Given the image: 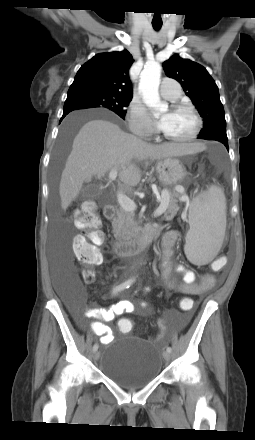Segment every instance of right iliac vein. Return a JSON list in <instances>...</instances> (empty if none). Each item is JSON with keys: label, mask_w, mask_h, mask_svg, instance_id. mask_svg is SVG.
Masks as SVG:
<instances>
[{"label": "right iliac vein", "mask_w": 255, "mask_h": 440, "mask_svg": "<svg viewBox=\"0 0 255 440\" xmlns=\"http://www.w3.org/2000/svg\"><path fill=\"white\" fill-rule=\"evenodd\" d=\"M99 356H100V354H99L98 351H94L93 352V359H94V361H97L99 359Z\"/></svg>", "instance_id": "1"}]
</instances>
